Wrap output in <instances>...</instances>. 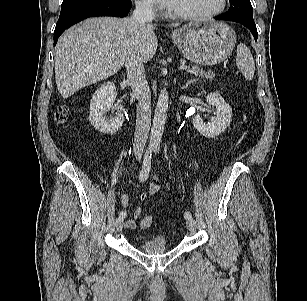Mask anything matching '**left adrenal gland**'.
<instances>
[{
  "label": "left adrenal gland",
  "instance_id": "1",
  "mask_svg": "<svg viewBox=\"0 0 307 301\" xmlns=\"http://www.w3.org/2000/svg\"><path fill=\"white\" fill-rule=\"evenodd\" d=\"M195 81V79H191V80H189L186 84H185V88H187L188 87V85H190L191 83H193Z\"/></svg>",
  "mask_w": 307,
  "mask_h": 301
}]
</instances>
